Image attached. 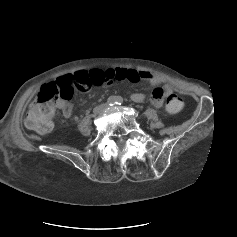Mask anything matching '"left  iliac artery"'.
Returning a JSON list of instances; mask_svg holds the SVG:
<instances>
[{"mask_svg": "<svg viewBox=\"0 0 237 237\" xmlns=\"http://www.w3.org/2000/svg\"><path fill=\"white\" fill-rule=\"evenodd\" d=\"M123 103V98L122 97H117L116 99V104L121 105Z\"/></svg>", "mask_w": 237, "mask_h": 237, "instance_id": "44dca946", "label": "left iliac artery"}]
</instances>
